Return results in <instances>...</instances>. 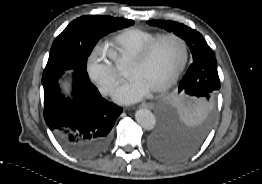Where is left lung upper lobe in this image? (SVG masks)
Segmentation results:
<instances>
[{
	"instance_id": "left-lung-upper-lobe-1",
	"label": "left lung upper lobe",
	"mask_w": 262,
	"mask_h": 184,
	"mask_svg": "<svg viewBox=\"0 0 262 184\" xmlns=\"http://www.w3.org/2000/svg\"><path fill=\"white\" fill-rule=\"evenodd\" d=\"M150 25L164 28L180 36L188 44L193 63L187 70L184 78L179 84L178 94L164 103L160 109L161 123L176 133H182L188 137H199L205 135L210 126L209 114L203 122L193 131H185L181 128L174 111V104L183 102L191 103L195 111H207L212 105L216 92L220 88V80L217 69L212 64L199 63L204 57L213 56L212 49L208 46L203 36L196 30L174 21H148Z\"/></svg>"
}]
</instances>
